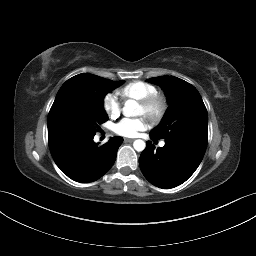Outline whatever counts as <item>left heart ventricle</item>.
Masks as SVG:
<instances>
[{"mask_svg": "<svg viewBox=\"0 0 256 256\" xmlns=\"http://www.w3.org/2000/svg\"><path fill=\"white\" fill-rule=\"evenodd\" d=\"M138 114H139V115L145 114L144 108H143L142 106H140V105H139V109H138Z\"/></svg>", "mask_w": 256, "mask_h": 256, "instance_id": "obj_1", "label": "left heart ventricle"}]
</instances>
